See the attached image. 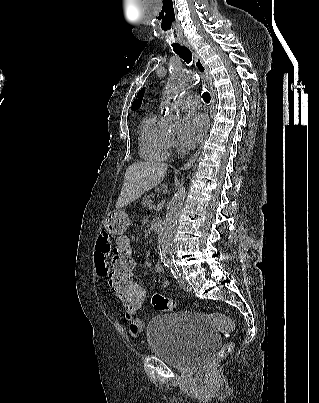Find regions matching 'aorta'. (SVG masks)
<instances>
[{"mask_svg":"<svg viewBox=\"0 0 319 403\" xmlns=\"http://www.w3.org/2000/svg\"><path fill=\"white\" fill-rule=\"evenodd\" d=\"M199 80L194 75L185 72L182 69L173 70L170 73L164 95V104L166 109V120L177 125L180 120L179 109L176 105L177 97L186 89L197 84ZM186 197L185 188L179 189L171 199L168 205L166 217L162 223L159 232V250L163 258L172 256V236L177 225V219Z\"/></svg>","mask_w":319,"mask_h":403,"instance_id":"aorta-1","label":"aorta"}]
</instances>
